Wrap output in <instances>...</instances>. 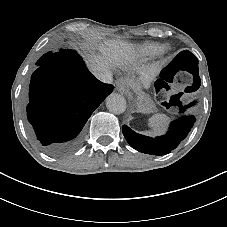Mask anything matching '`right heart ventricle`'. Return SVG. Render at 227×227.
I'll list each match as a JSON object with an SVG mask.
<instances>
[{
  "instance_id": "1",
  "label": "right heart ventricle",
  "mask_w": 227,
  "mask_h": 227,
  "mask_svg": "<svg viewBox=\"0 0 227 227\" xmlns=\"http://www.w3.org/2000/svg\"><path fill=\"white\" fill-rule=\"evenodd\" d=\"M162 45L160 43L148 42L137 48L136 56L141 59L153 57L161 52Z\"/></svg>"
}]
</instances>
